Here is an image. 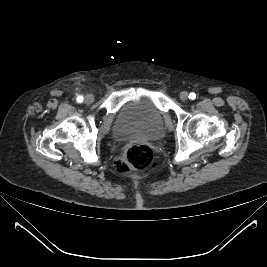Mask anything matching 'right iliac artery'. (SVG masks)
I'll list each match as a JSON object with an SVG mask.
<instances>
[{"mask_svg": "<svg viewBox=\"0 0 267 267\" xmlns=\"http://www.w3.org/2000/svg\"><path fill=\"white\" fill-rule=\"evenodd\" d=\"M77 101H78V102H82V101H83V97H82V96H78V97H77Z\"/></svg>", "mask_w": 267, "mask_h": 267, "instance_id": "right-iliac-artery-1", "label": "right iliac artery"}]
</instances>
